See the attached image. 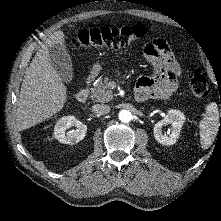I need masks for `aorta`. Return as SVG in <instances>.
I'll return each mask as SVG.
<instances>
[{
    "label": "aorta",
    "instance_id": "aorta-1",
    "mask_svg": "<svg viewBox=\"0 0 221 221\" xmlns=\"http://www.w3.org/2000/svg\"><path fill=\"white\" fill-rule=\"evenodd\" d=\"M132 114L128 110H122L119 112V120L121 122L127 123L131 121Z\"/></svg>",
    "mask_w": 221,
    "mask_h": 221
}]
</instances>
